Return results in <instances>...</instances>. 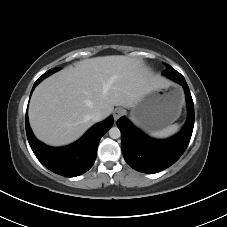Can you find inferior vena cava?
Instances as JSON below:
<instances>
[{"mask_svg":"<svg viewBox=\"0 0 227 227\" xmlns=\"http://www.w3.org/2000/svg\"><path fill=\"white\" fill-rule=\"evenodd\" d=\"M103 117V114L101 111H95L92 115H91V119L94 121V122H98L102 119Z\"/></svg>","mask_w":227,"mask_h":227,"instance_id":"inferior-vena-cava-1","label":"inferior vena cava"}]
</instances>
